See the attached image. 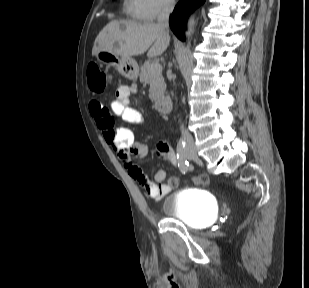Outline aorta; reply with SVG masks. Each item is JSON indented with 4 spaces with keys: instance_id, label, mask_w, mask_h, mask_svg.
<instances>
[{
    "instance_id": "1",
    "label": "aorta",
    "mask_w": 309,
    "mask_h": 288,
    "mask_svg": "<svg viewBox=\"0 0 309 288\" xmlns=\"http://www.w3.org/2000/svg\"><path fill=\"white\" fill-rule=\"evenodd\" d=\"M195 25H196V20L194 16H192L189 18L188 25H187V31H186L187 38H190L192 36L194 29H195Z\"/></svg>"
}]
</instances>
